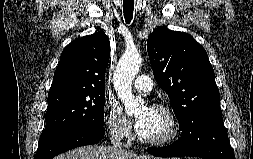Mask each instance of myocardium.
<instances>
[{
	"instance_id": "myocardium-1",
	"label": "myocardium",
	"mask_w": 253,
	"mask_h": 159,
	"mask_svg": "<svg viewBox=\"0 0 253 159\" xmlns=\"http://www.w3.org/2000/svg\"><path fill=\"white\" fill-rule=\"evenodd\" d=\"M152 108L159 110L165 114V116L167 117L169 121L170 131L166 136L158 138V139H151V138L144 137L139 131H137V136L139 140L142 143L151 145V146H165L174 142L179 137L180 132H181V126L175 113L168 106L164 104H160V103L154 104Z\"/></svg>"
}]
</instances>
